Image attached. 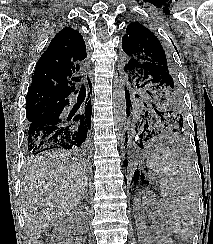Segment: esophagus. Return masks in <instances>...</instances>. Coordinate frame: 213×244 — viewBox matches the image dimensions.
<instances>
[{"label": "esophagus", "instance_id": "1", "mask_svg": "<svg viewBox=\"0 0 213 244\" xmlns=\"http://www.w3.org/2000/svg\"><path fill=\"white\" fill-rule=\"evenodd\" d=\"M92 82H93V79H92V71H89L87 73V84H88V86H90Z\"/></svg>", "mask_w": 213, "mask_h": 244}]
</instances>
